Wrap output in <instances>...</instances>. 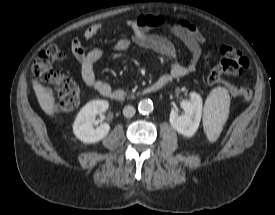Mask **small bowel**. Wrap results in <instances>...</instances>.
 <instances>
[{
    "instance_id": "obj_1",
    "label": "small bowel",
    "mask_w": 275,
    "mask_h": 215,
    "mask_svg": "<svg viewBox=\"0 0 275 215\" xmlns=\"http://www.w3.org/2000/svg\"><path fill=\"white\" fill-rule=\"evenodd\" d=\"M128 26L133 32L131 39L121 38L108 46L95 47L90 51L84 49L82 39H92L106 27L105 25L93 24L83 32L82 37H75L72 41V54L81 65L83 82L101 95L105 96L111 90V86L97 78L95 64L107 53L126 51L132 43L153 50L159 55L162 62L169 65V73L161 77L168 79L169 82L174 78L194 72L202 55L201 47L207 44L205 36L198 27L191 21L184 19L171 22L160 15L142 14L135 20L129 21ZM158 26H165L172 35L185 43L191 52V58L187 64H181L177 61L176 48L169 40L150 33L153 28Z\"/></svg>"
}]
</instances>
